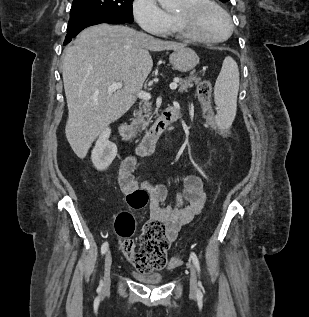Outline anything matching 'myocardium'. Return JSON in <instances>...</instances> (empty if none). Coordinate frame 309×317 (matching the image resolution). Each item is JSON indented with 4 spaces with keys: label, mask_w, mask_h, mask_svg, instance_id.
<instances>
[{
    "label": "myocardium",
    "mask_w": 309,
    "mask_h": 317,
    "mask_svg": "<svg viewBox=\"0 0 309 317\" xmlns=\"http://www.w3.org/2000/svg\"><path fill=\"white\" fill-rule=\"evenodd\" d=\"M215 10L220 13L228 27V32L223 37H210L198 32L193 22L205 11ZM175 24L179 32L194 41L202 43H220L226 41L233 33L234 25L228 12L212 0H195V2L184 3L181 9L174 14Z\"/></svg>",
    "instance_id": "obj_1"
}]
</instances>
